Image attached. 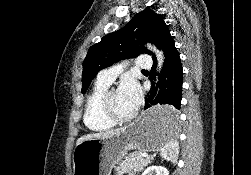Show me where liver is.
<instances>
[{"label":"liver","instance_id":"6515ba94","mask_svg":"<svg viewBox=\"0 0 251 175\" xmlns=\"http://www.w3.org/2000/svg\"><path fill=\"white\" fill-rule=\"evenodd\" d=\"M124 127H119V129H112V131H100V133H87V135H81L79 139L76 141V145L85 141V139H94V137H110V135H114V133H118V131H122Z\"/></svg>","mask_w":251,"mask_h":175}]
</instances>
